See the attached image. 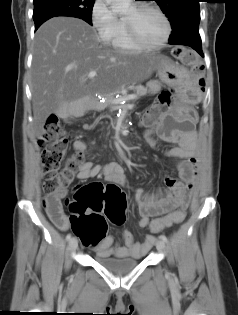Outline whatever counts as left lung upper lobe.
<instances>
[{
    "label": "left lung upper lobe",
    "mask_w": 238,
    "mask_h": 315,
    "mask_svg": "<svg viewBox=\"0 0 238 315\" xmlns=\"http://www.w3.org/2000/svg\"><path fill=\"white\" fill-rule=\"evenodd\" d=\"M169 17L172 34L169 40L199 28V0H154Z\"/></svg>",
    "instance_id": "left-lung-upper-lobe-1"
}]
</instances>
